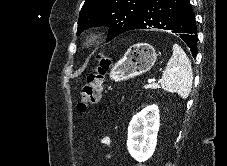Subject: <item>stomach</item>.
<instances>
[{
	"label": "stomach",
	"instance_id": "obj_1",
	"mask_svg": "<svg viewBox=\"0 0 227 166\" xmlns=\"http://www.w3.org/2000/svg\"><path fill=\"white\" fill-rule=\"evenodd\" d=\"M157 55L153 46L137 43L127 49L124 56L110 70L109 76L115 82L141 75L151 69Z\"/></svg>",
	"mask_w": 227,
	"mask_h": 166
}]
</instances>
